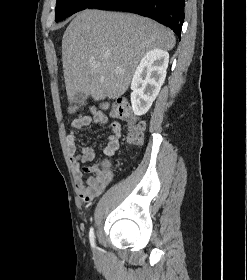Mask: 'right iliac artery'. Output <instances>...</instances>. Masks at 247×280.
<instances>
[{
  "label": "right iliac artery",
  "mask_w": 247,
  "mask_h": 280,
  "mask_svg": "<svg viewBox=\"0 0 247 280\" xmlns=\"http://www.w3.org/2000/svg\"><path fill=\"white\" fill-rule=\"evenodd\" d=\"M89 239H90V243H91L92 248H95V235H94V229L93 228L90 229Z\"/></svg>",
  "instance_id": "82829eb1"
}]
</instances>
